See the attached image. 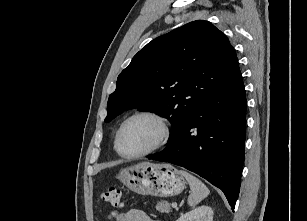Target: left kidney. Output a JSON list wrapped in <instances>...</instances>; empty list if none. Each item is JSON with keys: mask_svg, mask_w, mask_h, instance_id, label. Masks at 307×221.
Segmentation results:
<instances>
[{"mask_svg": "<svg viewBox=\"0 0 307 221\" xmlns=\"http://www.w3.org/2000/svg\"><path fill=\"white\" fill-rule=\"evenodd\" d=\"M177 221H213V210L209 206H200L182 214Z\"/></svg>", "mask_w": 307, "mask_h": 221, "instance_id": "obj_1", "label": "left kidney"}]
</instances>
